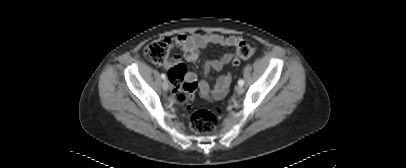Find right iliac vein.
Here are the masks:
<instances>
[{"label": "right iliac vein", "mask_w": 406, "mask_h": 168, "mask_svg": "<svg viewBox=\"0 0 406 168\" xmlns=\"http://www.w3.org/2000/svg\"><path fill=\"white\" fill-rule=\"evenodd\" d=\"M162 88L164 91H167L169 89V84H168V80L164 79L162 82Z\"/></svg>", "instance_id": "right-iliac-vein-1"}]
</instances>
